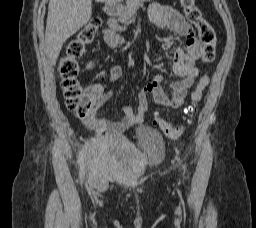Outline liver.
Masks as SVG:
<instances>
[{"instance_id": "1", "label": "liver", "mask_w": 256, "mask_h": 228, "mask_svg": "<svg viewBox=\"0 0 256 228\" xmlns=\"http://www.w3.org/2000/svg\"><path fill=\"white\" fill-rule=\"evenodd\" d=\"M115 4L121 0H96ZM92 16V0H50L45 32L46 53L55 65L65 41Z\"/></svg>"}]
</instances>
